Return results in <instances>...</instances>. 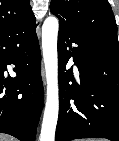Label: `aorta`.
<instances>
[{"label":"aorta","mask_w":119,"mask_h":141,"mask_svg":"<svg viewBox=\"0 0 119 141\" xmlns=\"http://www.w3.org/2000/svg\"><path fill=\"white\" fill-rule=\"evenodd\" d=\"M59 22L56 17L45 19L42 27V48L47 80V99L40 141H54L58 120V56L57 36Z\"/></svg>","instance_id":"aorta-1"}]
</instances>
